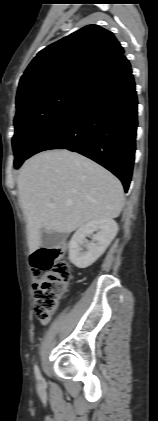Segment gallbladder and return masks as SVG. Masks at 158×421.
<instances>
[{
  "instance_id": "1",
  "label": "gallbladder",
  "mask_w": 158,
  "mask_h": 421,
  "mask_svg": "<svg viewBox=\"0 0 158 421\" xmlns=\"http://www.w3.org/2000/svg\"><path fill=\"white\" fill-rule=\"evenodd\" d=\"M66 234L54 232L48 233L45 229L41 230V245L46 249L53 248L65 241Z\"/></svg>"
}]
</instances>
